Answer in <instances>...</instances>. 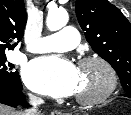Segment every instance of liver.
Here are the masks:
<instances>
[{"label": "liver", "mask_w": 131, "mask_h": 115, "mask_svg": "<svg viewBox=\"0 0 131 115\" xmlns=\"http://www.w3.org/2000/svg\"><path fill=\"white\" fill-rule=\"evenodd\" d=\"M0 115H20V113L14 111L10 107L3 106L0 104Z\"/></svg>", "instance_id": "1"}]
</instances>
